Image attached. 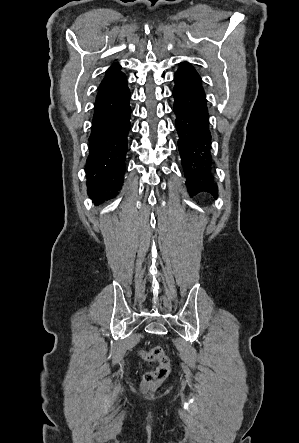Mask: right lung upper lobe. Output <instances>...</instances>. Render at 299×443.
<instances>
[{
    "label": "right lung upper lobe",
    "instance_id": "1",
    "mask_svg": "<svg viewBox=\"0 0 299 443\" xmlns=\"http://www.w3.org/2000/svg\"><path fill=\"white\" fill-rule=\"evenodd\" d=\"M121 67L118 63H114L110 68L106 71V75L103 79V81L100 84V87L107 84L117 76L121 75L122 72L120 71Z\"/></svg>",
    "mask_w": 299,
    "mask_h": 443
}]
</instances>
